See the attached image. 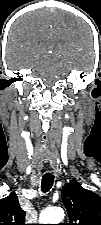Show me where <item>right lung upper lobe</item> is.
I'll use <instances>...</instances> for the list:
<instances>
[{"instance_id":"right-lung-upper-lobe-1","label":"right lung upper lobe","mask_w":101,"mask_h":225,"mask_svg":"<svg viewBox=\"0 0 101 225\" xmlns=\"http://www.w3.org/2000/svg\"><path fill=\"white\" fill-rule=\"evenodd\" d=\"M24 220L25 211L21 209L15 192L0 200V225H26Z\"/></svg>"}]
</instances>
